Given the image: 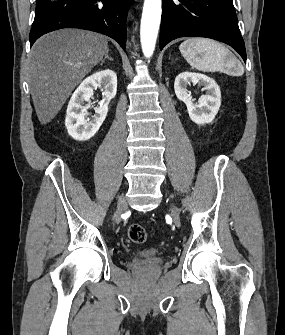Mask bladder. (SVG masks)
<instances>
[{
  "label": "bladder",
  "instance_id": "obj_1",
  "mask_svg": "<svg viewBox=\"0 0 285 335\" xmlns=\"http://www.w3.org/2000/svg\"><path fill=\"white\" fill-rule=\"evenodd\" d=\"M160 255L156 249H144L138 253V257L141 259H153Z\"/></svg>",
  "mask_w": 285,
  "mask_h": 335
}]
</instances>
